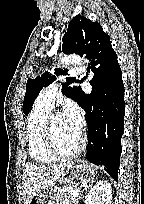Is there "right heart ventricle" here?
I'll use <instances>...</instances> for the list:
<instances>
[{
  "instance_id": "e07e8e85",
  "label": "right heart ventricle",
  "mask_w": 144,
  "mask_h": 204,
  "mask_svg": "<svg viewBox=\"0 0 144 204\" xmlns=\"http://www.w3.org/2000/svg\"><path fill=\"white\" fill-rule=\"evenodd\" d=\"M50 111L51 109L36 102L28 117V150L32 160L39 164H48L57 159L50 153L45 141V124Z\"/></svg>"
}]
</instances>
